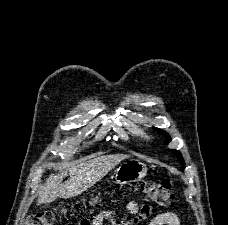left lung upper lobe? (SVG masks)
<instances>
[{
    "label": "left lung upper lobe",
    "mask_w": 228,
    "mask_h": 225,
    "mask_svg": "<svg viewBox=\"0 0 228 225\" xmlns=\"http://www.w3.org/2000/svg\"><path fill=\"white\" fill-rule=\"evenodd\" d=\"M154 129H155L159 134H161V135H163L164 137H166V141H167V142H169V141L171 140L170 136H169L166 132H164V131H162V130H160V129H158V128H155V127H154ZM172 152L178 156L179 161L184 165L185 163H184V160H183V158H182L181 153H180L179 151H177V150H172Z\"/></svg>",
    "instance_id": "1"
}]
</instances>
